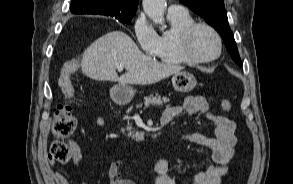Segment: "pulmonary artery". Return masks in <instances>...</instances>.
<instances>
[{
  "label": "pulmonary artery",
  "instance_id": "obj_1",
  "mask_svg": "<svg viewBox=\"0 0 293 184\" xmlns=\"http://www.w3.org/2000/svg\"><path fill=\"white\" fill-rule=\"evenodd\" d=\"M186 9L178 4H171L168 7V14H181V13H185Z\"/></svg>",
  "mask_w": 293,
  "mask_h": 184
}]
</instances>
